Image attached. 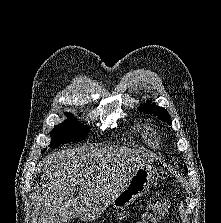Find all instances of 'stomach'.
<instances>
[{
  "mask_svg": "<svg viewBox=\"0 0 221 223\" xmlns=\"http://www.w3.org/2000/svg\"><path fill=\"white\" fill-rule=\"evenodd\" d=\"M156 173L157 170L149 164L136 169L127 182L126 187L113 198L111 204L117 209L131 204L148 191L153 184Z\"/></svg>",
  "mask_w": 221,
  "mask_h": 223,
  "instance_id": "0dacf381",
  "label": "stomach"
}]
</instances>
